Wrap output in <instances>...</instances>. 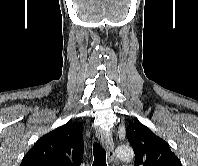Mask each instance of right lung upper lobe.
Here are the masks:
<instances>
[{
  "instance_id": "right-lung-upper-lobe-1",
  "label": "right lung upper lobe",
  "mask_w": 198,
  "mask_h": 166,
  "mask_svg": "<svg viewBox=\"0 0 198 166\" xmlns=\"http://www.w3.org/2000/svg\"><path fill=\"white\" fill-rule=\"evenodd\" d=\"M82 130V123L68 122L45 134L20 166H80L84 151Z\"/></svg>"
}]
</instances>
